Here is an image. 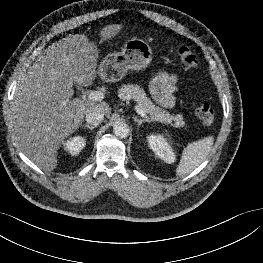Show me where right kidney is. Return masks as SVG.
Returning <instances> with one entry per match:
<instances>
[{"instance_id": "ca27d5eb", "label": "right kidney", "mask_w": 263, "mask_h": 263, "mask_svg": "<svg viewBox=\"0 0 263 263\" xmlns=\"http://www.w3.org/2000/svg\"><path fill=\"white\" fill-rule=\"evenodd\" d=\"M86 141L82 136H75L64 143V149L72 156L78 155L85 147Z\"/></svg>"}]
</instances>
